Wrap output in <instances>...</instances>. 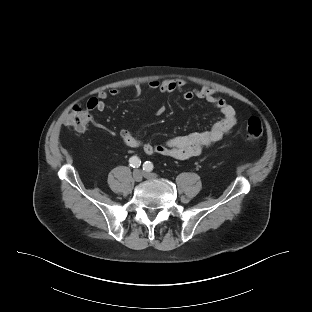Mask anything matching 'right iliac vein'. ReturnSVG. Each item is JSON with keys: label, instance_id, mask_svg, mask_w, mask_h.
<instances>
[{"label": "right iliac vein", "instance_id": "right-iliac-vein-1", "mask_svg": "<svg viewBox=\"0 0 312 312\" xmlns=\"http://www.w3.org/2000/svg\"><path fill=\"white\" fill-rule=\"evenodd\" d=\"M143 178V173L140 170H134L133 179L137 182L141 181Z\"/></svg>", "mask_w": 312, "mask_h": 312}]
</instances>
